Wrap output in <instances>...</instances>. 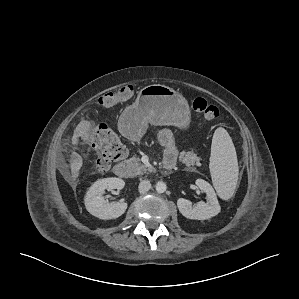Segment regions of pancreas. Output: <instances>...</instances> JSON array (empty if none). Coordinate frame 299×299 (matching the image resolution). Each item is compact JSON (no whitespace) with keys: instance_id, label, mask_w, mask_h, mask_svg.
<instances>
[{"instance_id":"obj_1","label":"pancreas","mask_w":299,"mask_h":299,"mask_svg":"<svg viewBox=\"0 0 299 299\" xmlns=\"http://www.w3.org/2000/svg\"><path fill=\"white\" fill-rule=\"evenodd\" d=\"M179 161L184 163L189 171H196V166H201V158L198 157L195 153L193 152H181L179 156ZM129 165L133 168V174L134 175H142L147 173L148 171H151L150 168H147L145 165L140 163V159L133 157L130 158L128 161Z\"/></svg>"}]
</instances>
